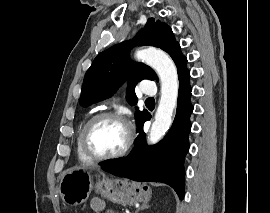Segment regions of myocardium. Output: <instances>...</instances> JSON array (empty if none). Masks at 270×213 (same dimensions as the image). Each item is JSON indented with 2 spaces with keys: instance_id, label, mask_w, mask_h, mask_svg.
Returning a JSON list of instances; mask_svg holds the SVG:
<instances>
[{
  "instance_id": "obj_1",
  "label": "myocardium",
  "mask_w": 270,
  "mask_h": 213,
  "mask_svg": "<svg viewBox=\"0 0 270 213\" xmlns=\"http://www.w3.org/2000/svg\"><path fill=\"white\" fill-rule=\"evenodd\" d=\"M104 119H115L122 122L127 128V139H126V143L124 147L121 150L115 153L109 154V155H98L92 152L89 147V134L91 130L93 129V127L99 121L104 120ZM133 141H134V134H133V127L131 123L122 114L115 111H103L92 116L86 122L82 131V135H81V146H82L83 152L89 159H91L92 161H97V162L114 160V159H118L125 156L129 152L133 144Z\"/></svg>"
}]
</instances>
